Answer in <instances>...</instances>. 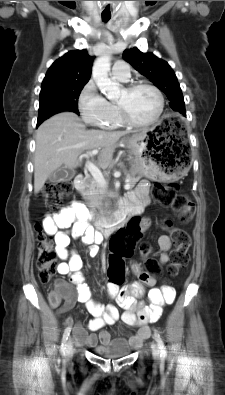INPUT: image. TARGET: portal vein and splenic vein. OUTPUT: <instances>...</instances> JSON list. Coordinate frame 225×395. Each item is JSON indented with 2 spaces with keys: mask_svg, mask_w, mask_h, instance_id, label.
<instances>
[{
  "mask_svg": "<svg viewBox=\"0 0 225 395\" xmlns=\"http://www.w3.org/2000/svg\"><path fill=\"white\" fill-rule=\"evenodd\" d=\"M98 153V150H92L89 152H86V154H83L84 157H88V156H92V155H96ZM87 169L88 171L91 173V175L93 176L94 180L102 187L105 188L106 186V181L104 179V176L102 174V172L99 170V168H97L92 162H88L87 163ZM124 188L126 190H129L131 188L130 184L128 181H126V184L124 185Z\"/></svg>",
  "mask_w": 225,
  "mask_h": 395,
  "instance_id": "obj_1",
  "label": "portal vein and splenic vein"
}]
</instances>
